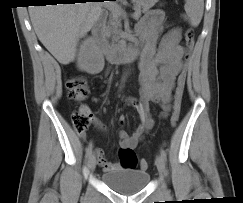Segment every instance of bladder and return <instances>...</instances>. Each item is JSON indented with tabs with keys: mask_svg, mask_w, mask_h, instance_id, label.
I'll return each mask as SVG.
<instances>
[{
	"mask_svg": "<svg viewBox=\"0 0 243 203\" xmlns=\"http://www.w3.org/2000/svg\"><path fill=\"white\" fill-rule=\"evenodd\" d=\"M150 174L145 170L116 169L102 174L106 186L122 195L141 192L149 182Z\"/></svg>",
	"mask_w": 243,
	"mask_h": 203,
	"instance_id": "1",
	"label": "bladder"
}]
</instances>
